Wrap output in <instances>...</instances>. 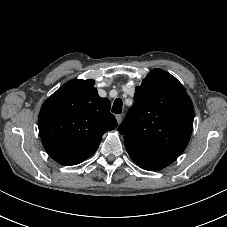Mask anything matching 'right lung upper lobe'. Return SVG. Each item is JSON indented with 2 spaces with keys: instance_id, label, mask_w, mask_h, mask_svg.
<instances>
[{
  "instance_id": "1",
  "label": "right lung upper lobe",
  "mask_w": 227,
  "mask_h": 227,
  "mask_svg": "<svg viewBox=\"0 0 227 227\" xmlns=\"http://www.w3.org/2000/svg\"><path fill=\"white\" fill-rule=\"evenodd\" d=\"M110 101L101 98L93 80H72L42 105L38 117L42 144L56 162L76 165L98 148L102 135L117 127Z\"/></svg>"
}]
</instances>
